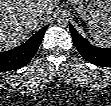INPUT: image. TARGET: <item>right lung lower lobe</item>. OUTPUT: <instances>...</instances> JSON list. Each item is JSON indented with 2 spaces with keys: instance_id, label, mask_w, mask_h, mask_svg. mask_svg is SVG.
<instances>
[{
  "instance_id": "1",
  "label": "right lung lower lobe",
  "mask_w": 111,
  "mask_h": 106,
  "mask_svg": "<svg viewBox=\"0 0 111 106\" xmlns=\"http://www.w3.org/2000/svg\"><path fill=\"white\" fill-rule=\"evenodd\" d=\"M47 26L34 34L24 44L4 52H0V71H10L23 67L35 55L43 39Z\"/></svg>"
}]
</instances>
